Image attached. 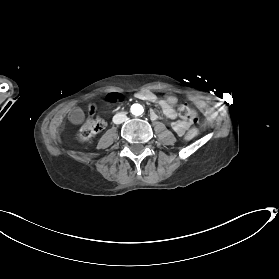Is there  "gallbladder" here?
Returning a JSON list of instances; mask_svg holds the SVG:
<instances>
[{
    "label": "gallbladder",
    "mask_w": 279,
    "mask_h": 279,
    "mask_svg": "<svg viewBox=\"0 0 279 279\" xmlns=\"http://www.w3.org/2000/svg\"><path fill=\"white\" fill-rule=\"evenodd\" d=\"M71 121L73 123H80L82 121V114L80 112H73L71 114Z\"/></svg>",
    "instance_id": "gallbladder-1"
}]
</instances>
